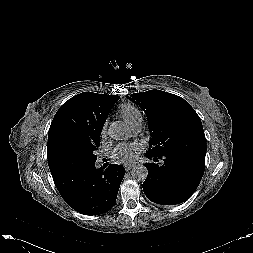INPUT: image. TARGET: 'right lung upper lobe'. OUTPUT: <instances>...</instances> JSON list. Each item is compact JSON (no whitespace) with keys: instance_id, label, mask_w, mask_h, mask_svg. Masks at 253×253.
Instances as JSON below:
<instances>
[{"instance_id":"right-lung-upper-lobe-1","label":"right lung upper lobe","mask_w":253,"mask_h":253,"mask_svg":"<svg viewBox=\"0 0 253 253\" xmlns=\"http://www.w3.org/2000/svg\"><path fill=\"white\" fill-rule=\"evenodd\" d=\"M118 95L80 93L67 100L55 114L48 133L47 158L52 176L56 155L71 144L94 142L100 138L103 125Z\"/></svg>"}]
</instances>
